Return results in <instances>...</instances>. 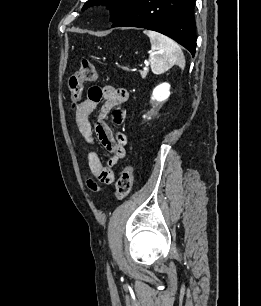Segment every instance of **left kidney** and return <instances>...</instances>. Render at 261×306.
Returning a JSON list of instances; mask_svg holds the SVG:
<instances>
[{"mask_svg":"<svg viewBox=\"0 0 261 306\" xmlns=\"http://www.w3.org/2000/svg\"><path fill=\"white\" fill-rule=\"evenodd\" d=\"M170 96V85L168 83H162L160 85H158L152 93V97H151V105L153 106V109H151V111L148 113V119H150V115H153L155 112V107L158 106L159 104L163 103L166 99H168V97ZM144 118H146L147 116L144 115Z\"/></svg>","mask_w":261,"mask_h":306,"instance_id":"5707ae66","label":"left kidney"}]
</instances>
